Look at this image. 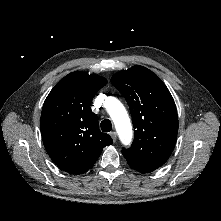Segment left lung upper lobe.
<instances>
[{
	"mask_svg": "<svg viewBox=\"0 0 221 221\" xmlns=\"http://www.w3.org/2000/svg\"><path fill=\"white\" fill-rule=\"evenodd\" d=\"M131 111L134 142L122 149L128 164L149 173L170 157L178 133L174 100L162 80L149 69L135 65L111 78Z\"/></svg>",
	"mask_w": 221,
	"mask_h": 221,
	"instance_id": "5c2ea615",
	"label": "left lung upper lobe"
}]
</instances>
